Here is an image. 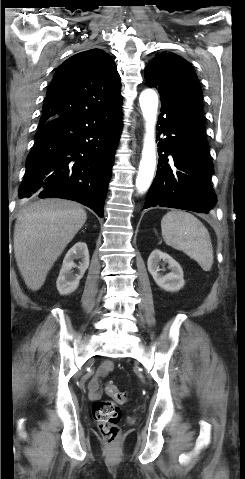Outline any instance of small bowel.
<instances>
[{
  "label": "small bowel",
  "instance_id": "1",
  "mask_svg": "<svg viewBox=\"0 0 245 479\" xmlns=\"http://www.w3.org/2000/svg\"><path fill=\"white\" fill-rule=\"evenodd\" d=\"M114 368V363L110 360L105 361L96 371L95 376L89 383V397L92 400L99 399L102 394L101 380L109 371Z\"/></svg>",
  "mask_w": 245,
  "mask_h": 479
}]
</instances>
